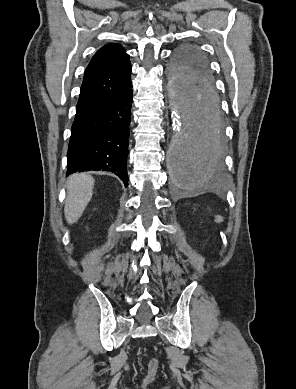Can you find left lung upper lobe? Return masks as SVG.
Masks as SVG:
<instances>
[{"mask_svg":"<svg viewBox=\"0 0 296 389\" xmlns=\"http://www.w3.org/2000/svg\"><path fill=\"white\" fill-rule=\"evenodd\" d=\"M170 73L177 87L187 84H190V87H195L192 83L196 81L197 76H203L213 81L206 58L193 46L184 47L175 53L170 65ZM188 100L190 105L194 106L192 99Z\"/></svg>","mask_w":296,"mask_h":389,"instance_id":"obj_1","label":"left lung upper lobe"}]
</instances>
